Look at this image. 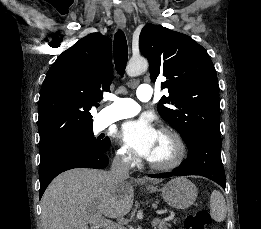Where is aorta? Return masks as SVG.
<instances>
[{"mask_svg": "<svg viewBox=\"0 0 261 229\" xmlns=\"http://www.w3.org/2000/svg\"><path fill=\"white\" fill-rule=\"evenodd\" d=\"M148 66L146 58H143V56H134V58H130L126 66V72L128 76H138L141 72H145Z\"/></svg>", "mask_w": 261, "mask_h": 229, "instance_id": "aorta-1", "label": "aorta"}]
</instances>
